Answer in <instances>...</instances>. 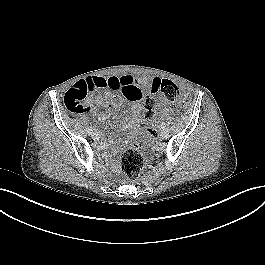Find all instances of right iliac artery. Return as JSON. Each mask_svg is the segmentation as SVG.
Returning a JSON list of instances; mask_svg holds the SVG:
<instances>
[{
    "label": "right iliac artery",
    "mask_w": 265,
    "mask_h": 265,
    "mask_svg": "<svg viewBox=\"0 0 265 265\" xmlns=\"http://www.w3.org/2000/svg\"><path fill=\"white\" fill-rule=\"evenodd\" d=\"M87 133L89 134V135H91L92 133H93V130H92V128L90 127V128H88V130H87Z\"/></svg>",
    "instance_id": "1"
}]
</instances>
